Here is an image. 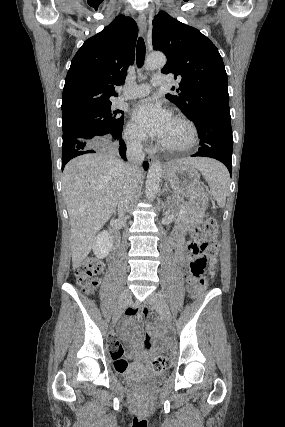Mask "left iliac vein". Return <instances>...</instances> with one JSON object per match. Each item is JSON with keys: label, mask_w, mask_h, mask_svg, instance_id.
<instances>
[{"label": "left iliac vein", "mask_w": 285, "mask_h": 427, "mask_svg": "<svg viewBox=\"0 0 285 427\" xmlns=\"http://www.w3.org/2000/svg\"><path fill=\"white\" fill-rule=\"evenodd\" d=\"M147 301L164 318L166 323L171 325V322H172L171 313L163 297L153 292L148 297Z\"/></svg>", "instance_id": "1"}]
</instances>
